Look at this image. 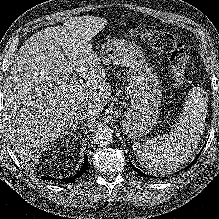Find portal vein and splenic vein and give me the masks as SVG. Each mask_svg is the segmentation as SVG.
<instances>
[{
  "mask_svg": "<svg viewBox=\"0 0 219 219\" xmlns=\"http://www.w3.org/2000/svg\"><path fill=\"white\" fill-rule=\"evenodd\" d=\"M74 82H77V77L74 75V77L71 79V83L73 84Z\"/></svg>",
  "mask_w": 219,
  "mask_h": 219,
  "instance_id": "1",
  "label": "portal vein and splenic vein"
}]
</instances>
